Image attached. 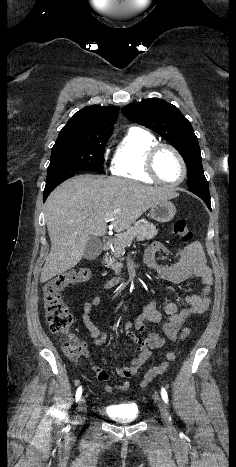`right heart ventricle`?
<instances>
[{
	"label": "right heart ventricle",
	"mask_w": 236,
	"mask_h": 467,
	"mask_svg": "<svg viewBox=\"0 0 236 467\" xmlns=\"http://www.w3.org/2000/svg\"><path fill=\"white\" fill-rule=\"evenodd\" d=\"M158 143L157 138L149 131L131 127L115 150L112 173L134 181L155 182L146 170V156L148 150Z\"/></svg>",
	"instance_id": "1"
}]
</instances>
